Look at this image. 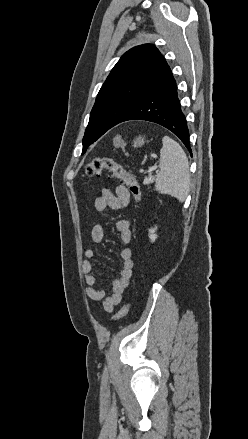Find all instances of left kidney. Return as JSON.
Masks as SVG:
<instances>
[{
    "mask_svg": "<svg viewBox=\"0 0 248 439\" xmlns=\"http://www.w3.org/2000/svg\"><path fill=\"white\" fill-rule=\"evenodd\" d=\"M156 230H157L156 226H155V228L149 229V238H150L151 242H154L157 238V235L155 234Z\"/></svg>",
    "mask_w": 248,
    "mask_h": 439,
    "instance_id": "obj_1",
    "label": "left kidney"
}]
</instances>
